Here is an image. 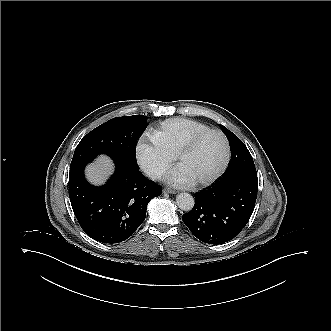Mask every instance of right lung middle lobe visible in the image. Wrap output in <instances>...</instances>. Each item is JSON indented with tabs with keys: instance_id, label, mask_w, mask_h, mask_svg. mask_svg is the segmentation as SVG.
<instances>
[{
	"instance_id": "right-lung-middle-lobe-1",
	"label": "right lung middle lobe",
	"mask_w": 331,
	"mask_h": 331,
	"mask_svg": "<svg viewBox=\"0 0 331 331\" xmlns=\"http://www.w3.org/2000/svg\"><path fill=\"white\" fill-rule=\"evenodd\" d=\"M146 116L116 117L85 135L75 149L71 165L90 162L98 154L109 155L115 162L138 170L137 140L146 128Z\"/></svg>"
}]
</instances>
